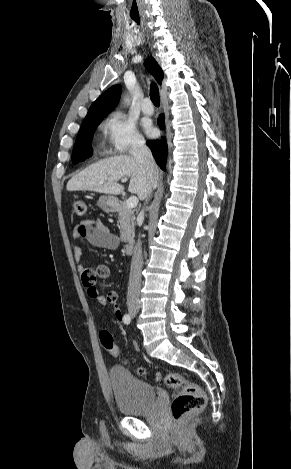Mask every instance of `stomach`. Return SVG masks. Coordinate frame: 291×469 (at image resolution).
<instances>
[{
	"label": "stomach",
	"mask_w": 291,
	"mask_h": 469,
	"mask_svg": "<svg viewBox=\"0 0 291 469\" xmlns=\"http://www.w3.org/2000/svg\"><path fill=\"white\" fill-rule=\"evenodd\" d=\"M97 205L106 212H114L118 206V199L114 196L103 195L99 198Z\"/></svg>",
	"instance_id": "stomach-1"
}]
</instances>
